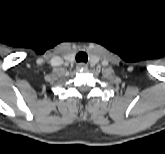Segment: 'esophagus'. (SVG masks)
<instances>
[{
	"mask_svg": "<svg viewBox=\"0 0 165 154\" xmlns=\"http://www.w3.org/2000/svg\"><path fill=\"white\" fill-rule=\"evenodd\" d=\"M76 67L79 70H86L87 69V64L81 62V63H78Z\"/></svg>",
	"mask_w": 165,
	"mask_h": 154,
	"instance_id": "obj_1",
	"label": "esophagus"
}]
</instances>
